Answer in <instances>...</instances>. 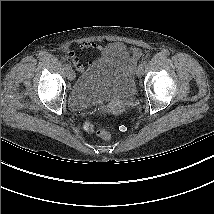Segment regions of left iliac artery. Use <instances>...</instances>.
<instances>
[{
    "label": "left iliac artery",
    "instance_id": "44dca946",
    "mask_svg": "<svg viewBox=\"0 0 214 214\" xmlns=\"http://www.w3.org/2000/svg\"><path fill=\"white\" fill-rule=\"evenodd\" d=\"M146 64H147V61H145V60H142L140 63V65H142V66H145Z\"/></svg>",
    "mask_w": 214,
    "mask_h": 214
}]
</instances>
